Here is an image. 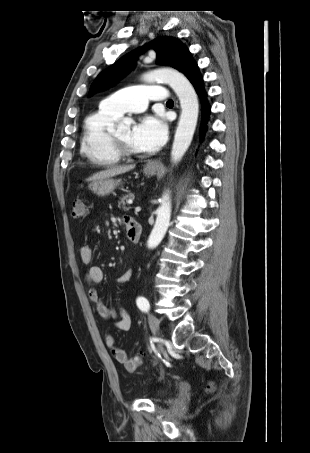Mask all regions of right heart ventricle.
Here are the masks:
<instances>
[{"mask_svg": "<svg viewBox=\"0 0 310 453\" xmlns=\"http://www.w3.org/2000/svg\"><path fill=\"white\" fill-rule=\"evenodd\" d=\"M119 116L100 106L85 118L80 151L92 165L110 167L122 159L109 141L110 132Z\"/></svg>", "mask_w": 310, "mask_h": 453, "instance_id": "right-heart-ventricle-1", "label": "right heart ventricle"}]
</instances>
